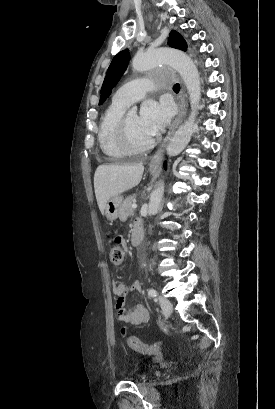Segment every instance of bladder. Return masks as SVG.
Wrapping results in <instances>:
<instances>
[{
  "mask_svg": "<svg viewBox=\"0 0 275 409\" xmlns=\"http://www.w3.org/2000/svg\"><path fill=\"white\" fill-rule=\"evenodd\" d=\"M144 378V375H140V376H138V379L140 380V379H143Z\"/></svg>",
  "mask_w": 275,
  "mask_h": 409,
  "instance_id": "1",
  "label": "bladder"
}]
</instances>
